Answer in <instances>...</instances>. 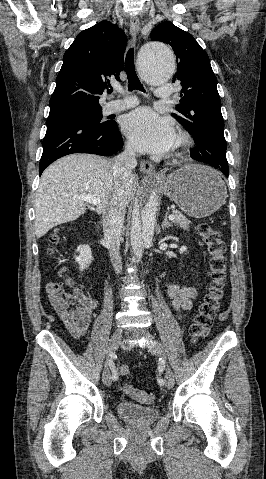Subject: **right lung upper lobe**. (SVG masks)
Masks as SVG:
<instances>
[{"instance_id": "1", "label": "right lung upper lobe", "mask_w": 266, "mask_h": 479, "mask_svg": "<svg viewBox=\"0 0 266 479\" xmlns=\"http://www.w3.org/2000/svg\"><path fill=\"white\" fill-rule=\"evenodd\" d=\"M126 44L125 33L106 20L80 32L63 56L50 114L101 107L99 96L110 78L120 81Z\"/></svg>"}]
</instances>
